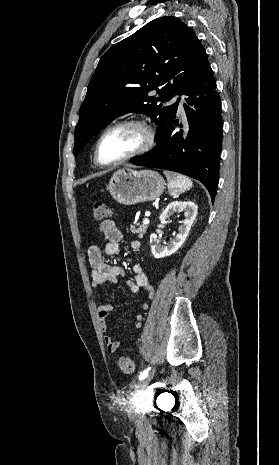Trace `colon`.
Returning <instances> with one entry per match:
<instances>
[{
  "instance_id": "obj_1",
  "label": "colon",
  "mask_w": 279,
  "mask_h": 465,
  "mask_svg": "<svg viewBox=\"0 0 279 465\" xmlns=\"http://www.w3.org/2000/svg\"><path fill=\"white\" fill-rule=\"evenodd\" d=\"M92 210L93 216L97 220L107 219L112 214L111 208L107 204L101 202L94 203ZM118 365L120 370L125 374H132L135 370V364L129 357H121L118 361Z\"/></svg>"
}]
</instances>
